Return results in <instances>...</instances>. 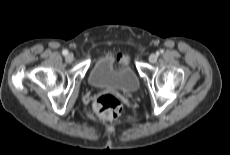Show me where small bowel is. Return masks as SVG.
Masks as SVG:
<instances>
[{
	"label": "small bowel",
	"instance_id": "obj_1",
	"mask_svg": "<svg viewBox=\"0 0 230 155\" xmlns=\"http://www.w3.org/2000/svg\"><path fill=\"white\" fill-rule=\"evenodd\" d=\"M120 62L121 63H125L126 62V58L125 57L120 58Z\"/></svg>",
	"mask_w": 230,
	"mask_h": 155
}]
</instances>
